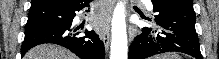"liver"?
<instances>
[{"label": "liver", "instance_id": "liver-1", "mask_svg": "<svg viewBox=\"0 0 219 59\" xmlns=\"http://www.w3.org/2000/svg\"><path fill=\"white\" fill-rule=\"evenodd\" d=\"M23 59H78L73 53L61 46L42 44L30 49Z\"/></svg>", "mask_w": 219, "mask_h": 59}]
</instances>
